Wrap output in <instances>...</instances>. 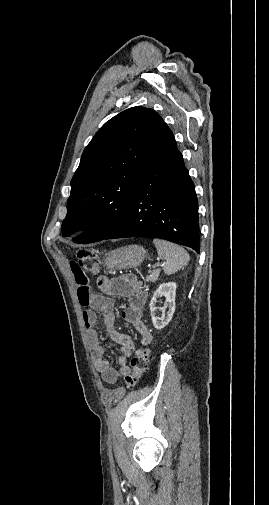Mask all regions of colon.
<instances>
[{
	"label": "colon",
	"instance_id": "5ec220e1",
	"mask_svg": "<svg viewBox=\"0 0 269 505\" xmlns=\"http://www.w3.org/2000/svg\"><path fill=\"white\" fill-rule=\"evenodd\" d=\"M77 261L86 274H99L102 271L99 253L94 248L78 250ZM151 356V351L148 348H140L136 351L130 363L131 368L124 375L125 383L129 388L135 387L147 371Z\"/></svg>",
	"mask_w": 269,
	"mask_h": 505
}]
</instances>
